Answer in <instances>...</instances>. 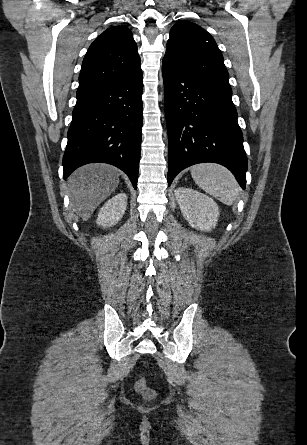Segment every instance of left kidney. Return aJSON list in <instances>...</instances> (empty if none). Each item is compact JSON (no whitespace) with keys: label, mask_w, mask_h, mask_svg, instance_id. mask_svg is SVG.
Returning a JSON list of instances; mask_svg holds the SVG:
<instances>
[{"label":"left kidney","mask_w":307,"mask_h":445,"mask_svg":"<svg viewBox=\"0 0 307 445\" xmlns=\"http://www.w3.org/2000/svg\"><path fill=\"white\" fill-rule=\"evenodd\" d=\"M174 192L180 210L190 227L198 231H211L216 227L219 208L213 198L186 186H179Z\"/></svg>","instance_id":"left-kidney-1"}]
</instances>
